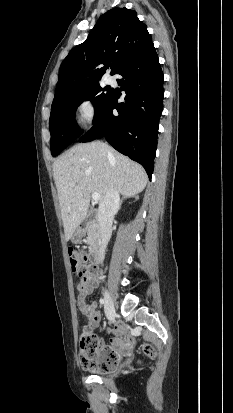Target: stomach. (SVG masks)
Segmentation results:
<instances>
[{
	"label": "stomach",
	"mask_w": 233,
	"mask_h": 413,
	"mask_svg": "<svg viewBox=\"0 0 233 413\" xmlns=\"http://www.w3.org/2000/svg\"><path fill=\"white\" fill-rule=\"evenodd\" d=\"M84 235H85V231L83 229L76 228V230L71 236V241L75 244L80 243Z\"/></svg>",
	"instance_id": "1"
}]
</instances>
